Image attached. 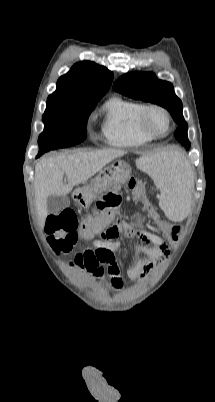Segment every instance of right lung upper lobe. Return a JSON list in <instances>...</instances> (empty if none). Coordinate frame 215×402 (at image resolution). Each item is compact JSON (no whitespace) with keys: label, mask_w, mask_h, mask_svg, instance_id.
<instances>
[{"label":"right lung upper lobe","mask_w":215,"mask_h":402,"mask_svg":"<svg viewBox=\"0 0 215 402\" xmlns=\"http://www.w3.org/2000/svg\"><path fill=\"white\" fill-rule=\"evenodd\" d=\"M113 73L92 61H82L57 81V89L48 99H95L109 89Z\"/></svg>","instance_id":"1"}]
</instances>
